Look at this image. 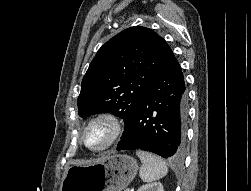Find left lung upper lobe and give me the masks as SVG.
Wrapping results in <instances>:
<instances>
[{"instance_id": "obj_1", "label": "left lung upper lobe", "mask_w": 251, "mask_h": 191, "mask_svg": "<svg viewBox=\"0 0 251 191\" xmlns=\"http://www.w3.org/2000/svg\"><path fill=\"white\" fill-rule=\"evenodd\" d=\"M171 55L166 41L151 29L134 26L120 32L89 65L77 101L79 116L111 112L123 118L124 134Z\"/></svg>"}]
</instances>
